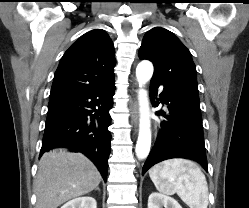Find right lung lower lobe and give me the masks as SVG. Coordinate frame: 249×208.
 Segmentation results:
<instances>
[{"label": "right lung lower lobe", "mask_w": 249, "mask_h": 208, "mask_svg": "<svg viewBox=\"0 0 249 208\" xmlns=\"http://www.w3.org/2000/svg\"><path fill=\"white\" fill-rule=\"evenodd\" d=\"M114 90L113 79L87 92L51 99L40 156L57 147L81 152L96 165L106 181L111 148L109 110Z\"/></svg>", "instance_id": "1"}]
</instances>
